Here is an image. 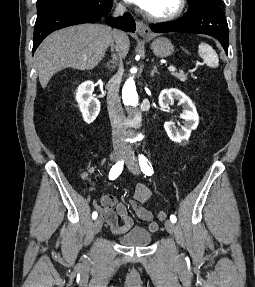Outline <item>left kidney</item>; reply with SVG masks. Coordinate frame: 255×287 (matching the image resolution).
Here are the masks:
<instances>
[{
	"label": "left kidney",
	"mask_w": 255,
	"mask_h": 287,
	"mask_svg": "<svg viewBox=\"0 0 255 287\" xmlns=\"http://www.w3.org/2000/svg\"><path fill=\"white\" fill-rule=\"evenodd\" d=\"M174 100H179L180 104H183V114H180V118L184 120V126H180L181 130H176L175 122H165L164 128L167 136L173 142H187L192 130H196L199 124V116L196 112V108L183 92L176 90V88H170V90H162L159 96V106L161 108H169V104H173Z\"/></svg>",
	"instance_id": "obj_1"
}]
</instances>
